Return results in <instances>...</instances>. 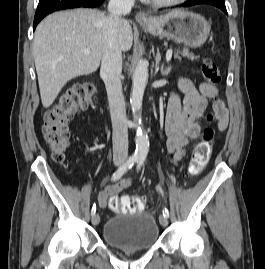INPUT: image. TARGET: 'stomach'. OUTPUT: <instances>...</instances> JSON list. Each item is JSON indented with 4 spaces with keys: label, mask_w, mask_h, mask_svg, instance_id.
<instances>
[{
    "label": "stomach",
    "mask_w": 265,
    "mask_h": 269,
    "mask_svg": "<svg viewBox=\"0 0 265 269\" xmlns=\"http://www.w3.org/2000/svg\"><path fill=\"white\" fill-rule=\"evenodd\" d=\"M141 26L153 35L191 48L203 45L210 33V24L203 16L185 10H173Z\"/></svg>",
    "instance_id": "0dacf381"
}]
</instances>
